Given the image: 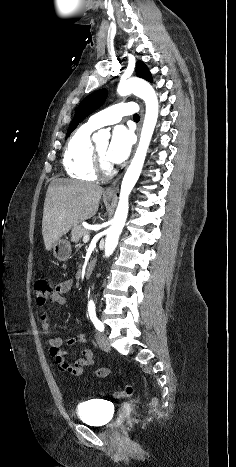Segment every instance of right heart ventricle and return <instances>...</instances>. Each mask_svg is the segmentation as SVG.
Masks as SVG:
<instances>
[{
    "label": "right heart ventricle",
    "instance_id": "e07e8e85",
    "mask_svg": "<svg viewBox=\"0 0 236 467\" xmlns=\"http://www.w3.org/2000/svg\"><path fill=\"white\" fill-rule=\"evenodd\" d=\"M95 129L87 124L82 125L69 139L64 155L63 165L67 175L80 181H95L94 145L91 134Z\"/></svg>",
    "mask_w": 236,
    "mask_h": 467
}]
</instances>
